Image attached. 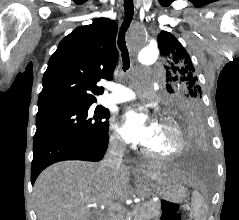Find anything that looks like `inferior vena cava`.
<instances>
[{
    "label": "inferior vena cava",
    "instance_id": "602c4592",
    "mask_svg": "<svg viewBox=\"0 0 239 220\" xmlns=\"http://www.w3.org/2000/svg\"><path fill=\"white\" fill-rule=\"evenodd\" d=\"M125 148L126 145L122 140L112 139L101 165L108 169L120 167Z\"/></svg>",
    "mask_w": 239,
    "mask_h": 220
}]
</instances>
